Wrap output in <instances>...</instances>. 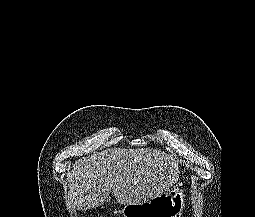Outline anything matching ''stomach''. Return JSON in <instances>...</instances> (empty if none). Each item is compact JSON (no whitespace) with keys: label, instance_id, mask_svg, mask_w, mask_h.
Segmentation results:
<instances>
[{"label":"stomach","instance_id":"stomach-1","mask_svg":"<svg viewBox=\"0 0 255 217\" xmlns=\"http://www.w3.org/2000/svg\"><path fill=\"white\" fill-rule=\"evenodd\" d=\"M185 206L183 190L174 187L153 199L137 204H126L123 217H181Z\"/></svg>","mask_w":255,"mask_h":217}]
</instances>
